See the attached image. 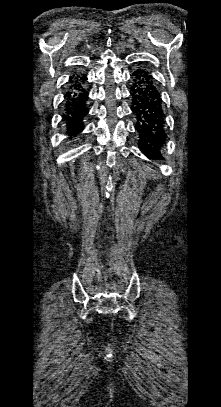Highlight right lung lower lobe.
<instances>
[{"mask_svg": "<svg viewBox=\"0 0 221 407\" xmlns=\"http://www.w3.org/2000/svg\"><path fill=\"white\" fill-rule=\"evenodd\" d=\"M87 77L76 75L70 79L65 95L63 120L67 125L68 135H77L84 128L83 120L88 114V92L85 88Z\"/></svg>", "mask_w": 221, "mask_h": 407, "instance_id": "98d812e1", "label": "right lung lower lobe"}]
</instances>
